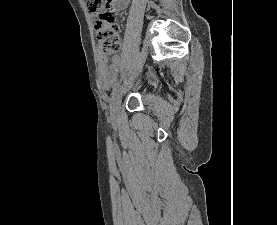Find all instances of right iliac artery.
I'll return each instance as SVG.
<instances>
[{"mask_svg": "<svg viewBox=\"0 0 277 225\" xmlns=\"http://www.w3.org/2000/svg\"><path fill=\"white\" fill-rule=\"evenodd\" d=\"M126 84H127L126 81H125L123 84L118 83V84L113 88L112 98H113V96H114L117 92H119Z\"/></svg>", "mask_w": 277, "mask_h": 225, "instance_id": "obj_1", "label": "right iliac artery"}]
</instances>
